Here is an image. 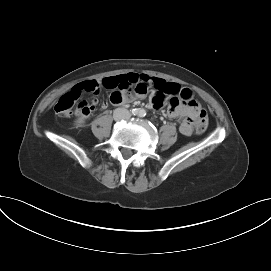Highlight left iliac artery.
I'll return each mask as SVG.
<instances>
[{
  "label": "left iliac artery",
  "instance_id": "44dca946",
  "mask_svg": "<svg viewBox=\"0 0 271 271\" xmlns=\"http://www.w3.org/2000/svg\"><path fill=\"white\" fill-rule=\"evenodd\" d=\"M139 117H145L146 116V111L144 109H140L138 113Z\"/></svg>",
  "mask_w": 271,
  "mask_h": 271
}]
</instances>
